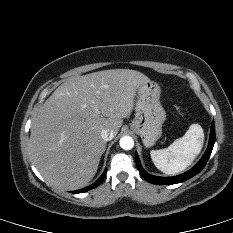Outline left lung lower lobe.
Listing matches in <instances>:
<instances>
[{"instance_id": "obj_1", "label": "left lung lower lobe", "mask_w": 233, "mask_h": 233, "mask_svg": "<svg viewBox=\"0 0 233 233\" xmlns=\"http://www.w3.org/2000/svg\"><path fill=\"white\" fill-rule=\"evenodd\" d=\"M214 142H215V124L213 121L212 125H211L209 145H208V148H207L205 154L203 155L201 160L192 169H190L189 171L185 172L184 174H181L178 176L157 177V176H153V175L146 173L140 164V161H139L137 154L135 155L136 164H137V167H138L141 175L150 183L159 184V185H169V184H176V183L184 182L187 179L198 174L204 168V166L206 165V163L211 155V152H212V149L214 146Z\"/></svg>"}]
</instances>
